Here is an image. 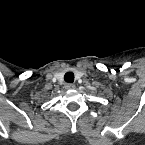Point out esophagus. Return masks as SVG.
<instances>
[{
    "instance_id": "34e87169",
    "label": "esophagus",
    "mask_w": 145,
    "mask_h": 145,
    "mask_svg": "<svg viewBox=\"0 0 145 145\" xmlns=\"http://www.w3.org/2000/svg\"><path fill=\"white\" fill-rule=\"evenodd\" d=\"M65 88L68 89V90H70V89H75V84H73V83H67V84L65 85Z\"/></svg>"
}]
</instances>
